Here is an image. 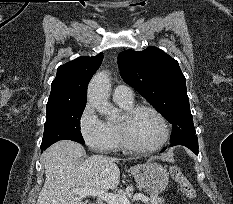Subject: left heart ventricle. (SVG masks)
<instances>
[{"mask_svg":"<svg viewBox=\"0 0 233 204\" xmlns=\"http://www.w3.org/2000/svg\"><path fill=\"white\" fill-rule=\"evenodd\" d=\"M133 141L140 147H153L163 137V128L158 118L148 111L139 112L131 122Z\"/></svg>","mask_w":233,"mask_h":204,"instance_id":"obj_1","label":"left heart ventricle"}]
</instances>
